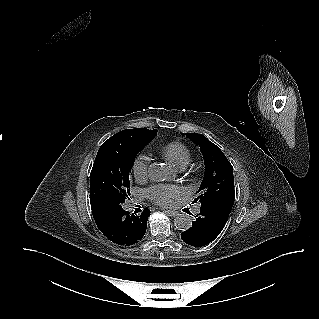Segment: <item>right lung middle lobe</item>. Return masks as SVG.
I'll return each mask as SVG.
<instances>
[{"label": "right lung middle lobe", "mask_w": 319, "mask_h": 319, "mask_svg": "<svg viewBox=\"0 0 319 319\" xmlns=\"http://www.w3.org/2000/svg\"><path fill=\"white\" fill-rule=\"evenodd\" d=\"M156 133L157 129L153 137ZM146 144L147 142L133 141L119 132L101 145L90 174L92 208L101 203L125 202L129 194V175L135 157Z\"/></svg>", "instance_id": "dd1d6c3e"}]
</instances>
